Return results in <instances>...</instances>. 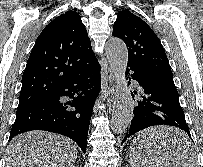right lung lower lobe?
<instances>
[{
	"mask_svg": "<svg viewBox=\"0 0 203 167\" xmlns=\"http://www.w3.org/2000/svg\"><path fill=\"white\" fill-rule=\"evenodd\" d=\"M100 85V68L95 60L68 78L47 100L17 109L9 140L23 132L44 130L71 138L85 153L89 121ZM62 96L72 100L63 102Z\"/></svg>",
	"mask_w": 203,
	"mask_h": 167,
	"instance_id": "98d812e1",
	"label": "right lung lower lobe"
}]
</instances>
